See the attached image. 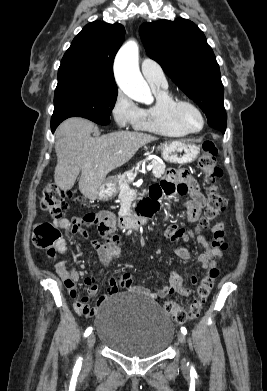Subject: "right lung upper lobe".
I'll return each instance as SVG.
<instances>
[{
    "instance_id": "cb5924a9",
    "label": "right lung upper lobe",
    "mask_w": 267,
    "mask_h": 391,
    "mask_svg": "<svg viewBox=\"0 0 267 391\" xmlns=\"http://www.w3.org/2000/svg\"><path fill=\"white\" fill-rule=\"evenodd\" d=\"M125 28L119 24L94 21L73 39L64 54L58 78L91 74L114 80V57L124 41Z\"/></svg>"
}]
</instances>
